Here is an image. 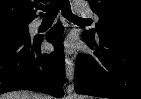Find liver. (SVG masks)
Segmentation results:
<instances>
[{
    "label": "liver",
    "mask_w": 141,
    "mask_h": 99,
    "mask_svg": "<svg viewBox=\"0 0 141 99\" xmlns=\"http://www.w3.org/2000/svg\"><path fill=\"white\" fill-rule=\"evenodd\" d=\"M0 99H39V97L30 91H14L1 95Z\"/></svg>",
    "instance_id": "1"
}]
</instances>
